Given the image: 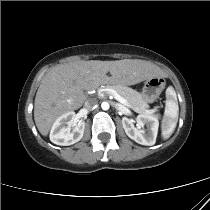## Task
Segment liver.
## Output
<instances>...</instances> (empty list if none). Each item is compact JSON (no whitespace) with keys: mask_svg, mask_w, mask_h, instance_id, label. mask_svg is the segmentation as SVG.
<instances>
[{"mask_svg":"<svg viewBox=\"0 0 210 210\" xmlns=\"http://www.w3.org/2000/svg\"><path fill=\"white\" fill-rule=\"evenodd\" d=\"M160 75L157 66L138 59L79 60L56 66L42 79L36 93V127L43 136H47L57 118L83 105L87 99L84 90L101 84L134 85Z\"/></svg>","mask_w":210,"mask_h":210,"instance_id":"1","label":"liver"}]
</instances>
